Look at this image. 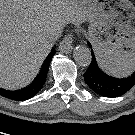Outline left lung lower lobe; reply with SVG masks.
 Returning a JSON list of instances; mask_svg holds the SVG:
<instances>
[{
  "instance_id": "obj_1",
  "label": "left lung lower lobe",
  "mask_w": 135,
  "mask_h": 135,
  "mask_svg": "<svg viewBox=\"0 0 135 135\" xmlns=\"http://www.w3.org/2000/svg\"><path fill=\"white\" fill-rule=\"evenodd\" d=\"M87 44L91 48L92 61L88 70L84 73V80L95 93L103 97H118L135 85V72L122 79L104 73L97 65L90 42H87Z\"/></svg>"
}]
</instances>
